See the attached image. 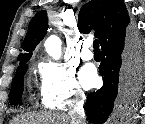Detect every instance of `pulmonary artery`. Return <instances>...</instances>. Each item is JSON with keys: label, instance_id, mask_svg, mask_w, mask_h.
Instances as JSON below:
<instances>
[{"label": "pulmonary artery", "instance_id": "e3ab8cb5", "mask_svg": "<svg viewBox=\"0 0 145 124\" xmlns=\"http://www.w3.org/2000/svg\"><path fill=\"white\" fill-rule=\"evenodd\" d=\"M90 45V41H85L83 44V51L81 53L83 60H92L94 57L93 52L90 50Z\"/></svg>", "mask_w": 145, "mask_h": 124}]
</instances>
